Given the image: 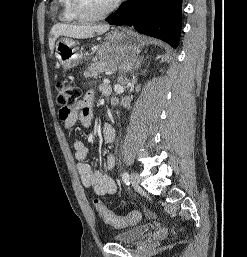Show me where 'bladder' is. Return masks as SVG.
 <instances>
[{
  "mask_svg": "<svg viewBox=\"0 0 247 257\" xmlns=\"http://www.w3.org/2000/svg\"><path fill=\"white\" fill-rule=\"evenodd\" d=\"M151 231V226L148 224H143L135 226L123 232H120L113 236V241L116 243L131 245L139 242L145 238Z\"/></svg>",
  "mask_w": 247,
  "mask_h": 257,
  "instance_id": "31cf9c89",
  "label": "bladder"
}]
</instances>
